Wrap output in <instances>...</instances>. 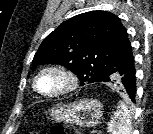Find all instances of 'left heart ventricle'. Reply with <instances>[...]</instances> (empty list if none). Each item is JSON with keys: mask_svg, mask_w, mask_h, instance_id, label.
I'll list each match as a JSON object with an SVG mask.
<instances>
[{"mask_svg": "<svg viewBox=\"0 0 153 134\" xmlns=\"http://www.w3.org/2000/svg\"><path fill=\"white\" fill-rule=\"evenodd\" d=\"M65 84L64 79L56 73H45L38 80V88L45 93H52L61 89Z\"/></svg>", "mask_w": 153, "mask_h": 134, "instance_id": "b2bd125f", "label": "left heart ventricle"}]
</instances>
